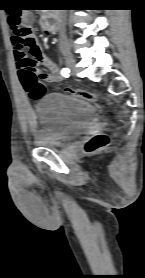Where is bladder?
I'll return each mask as SVG.
<instances>
[{
    "instance_id": "bladder-1",
    "label": "bladder",
    "mask_w": 145,
    "mask_h": 278,
    "mask_svg": "<svg viewBox=\"0 0 145 278\" xmlns=\"http://www.w3.org/2000/svg\"><path fill=\"white\" fill-rule=\"evenodd\" d=\"M37 128L33 143L48 148H59L82 134L97 118L88 100L65 93L44 95L35 112Z\"/></svg>"
}]
</instances>
